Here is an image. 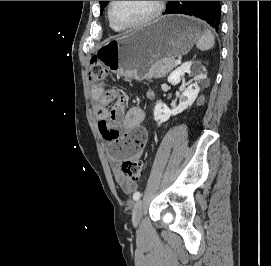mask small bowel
<instances>
[{
    "mask_svg": "<svg viewBox=\"0 0 271 266\" xmlns=\"http://www.w3.org/2000/svg\"><path fill=\"white\" fill-rule=\"evenodd\" d=\"M91 95L98 129L109 143L114 178L125 193H131L136 182L122 173L120 164L124 160L138 158L143 153L147 141L146 130L142 127L144 111L139 106L126 109L125 97L115 89L93 86ZM109 104H113L110 111Z\"/></svg>",
    "mask_w": 271,
    "mask_h": 266,
    "instance_id": "1",
    "label": "small bowel"
}]
</instances>
